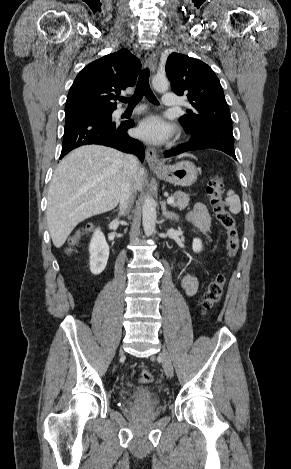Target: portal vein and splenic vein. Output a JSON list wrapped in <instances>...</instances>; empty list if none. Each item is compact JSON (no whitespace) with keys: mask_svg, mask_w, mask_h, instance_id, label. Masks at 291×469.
<instances>
[{"mask_svg":"<svg viewBox=\"0 0 291 469\" xmlns=\"http://www.w3.org/2000/svg\"><path fill=\"white\" fill-rule=\"evenodd\" d=\"M105 194H106L105 191H103V192L100 193V195H105ZM173 202H174V198H173V197H168V198H167V203H168V204H172Z\"/></svg>","mask_w":291,"mask_h":469,"instance_id":"18ae733b","label":"portal vein and splenic vein"}]
</instances>
